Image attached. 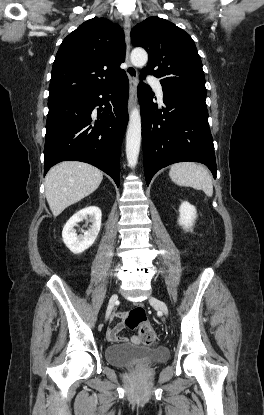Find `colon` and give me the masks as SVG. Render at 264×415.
Listing matches in <instances>:
<instances>
[{
  "label": "colon",
  "mask_w": 264,
  "mask_h": 415,
  "mask_svg": "<svg viewBox=\"0 0 264 415\" xmlns=\"http://www.w3.org/2000/svg\"><path fill=\"white\" fill-rule=\"evenodd\" d=\"M125 324L131 329H138L140 340L147 346L157 344V336L153 327L146 321V313L143 305H136L129 311Z\"/></svg>",
  "instance_id": "obj_1"
}]
</instances>
